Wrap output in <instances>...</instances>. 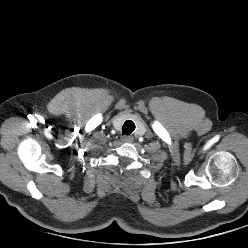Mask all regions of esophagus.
I'll use <instances>...</instances> for the list:
<instances>
[{"label": "esophagus", "instance_id": "1", "mask_svg": "<svg viewBox=\"0 0 248 248\" xmlns=\"http://www.w3.org/2000/svg\"><path fill=\"white\" fill-rule=\"evenodd\" d=\"M122 141L123 142H132L133 141V137L132 136H123L122 137Z\"/></svg>", "mask_w": 248, "mask_h": 248}]
</instances>
